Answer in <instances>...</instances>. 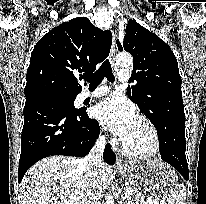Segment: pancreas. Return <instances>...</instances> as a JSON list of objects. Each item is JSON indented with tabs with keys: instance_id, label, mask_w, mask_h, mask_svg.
<instances>
[{
	"instance_id": "cf45deb5",
	"label": "pancreas",
	"mask_w": 206,
	"mask_h": 204,
	"mask_svg": "<svg viewBox=\"0 0 206 204\" xmlns=\"http://www.w3.org/2000/svg\"><path fill=\"white\" fill-rule=\"evenodd\" d=\"M128 189L132 191V195L127 196L128 204H149L133 188L128 187Z\"/></svg>"
}]
</instances>
